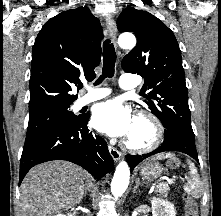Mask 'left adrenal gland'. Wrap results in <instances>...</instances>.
Returning a JSON list of instances; mask_svg holds the SVG:
<instances>
[{"label": "left adrenal gland", "instance_id": "1", "mask_svg": "<svg viewBox=\"0 0 221 216\" xmlns=\"http://www.w3.org/2000/svg\"><path fill=\"white\" fill-rule=\"evenodd\" d=\"M136 185L134 186L133 188V193L136 192L137 188L139 187V185H141V182H140V179L137 178L136 181H135Z\"/></svg>", "mask_w": 221, "mask_h": 216}]
</instances>
